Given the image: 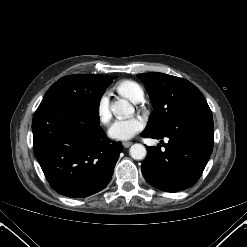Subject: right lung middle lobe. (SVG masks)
<instances>
[{
  "label": "right lung middle lobe",
  "mask_w": 247,
  "mask_h": 247,
  "mask_svg": "<svg viewBox=\"0 0 247 247\" xmlns=\"http://www.w3.org/2000/svg\"><path fill=\"white\" fill-rule=\"evenodd\" d=\"M112 79V77L100 78L97 75H68L55 82L45 93L42 101L65 100L98 111L100 99Z\"/></svg>",
  "instance_id": "right-lung-middle-lobe-1"
}]
</instances>
